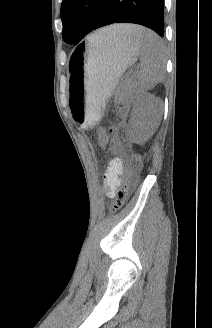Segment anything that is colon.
Listing matches in <instances>:
<instances>
[{
  "instance_id": "1",
  "label": "colon",
  "mask_w": 212,
  "mask_h": 328,
  "mask_svg": "<svg viewBox=\"0 0 212 328\" xmlns=\"http://www.w3.org/2000/svg\"><path fill=\"white\" fill-rule=\"evenodd\" d=\"M113 134V129H105V128H99L97 130V144L101 148H106L107 146L116 151L119 149V141L115 137H111ZM138 167V162H136L126 173V176L121 184L120 189L117 191L116 196H115V201L111 207V214H114L118 212L123 205L125 204L130 189L131 185L136 173V169Z\"/></svg>"
}]
</instances>
